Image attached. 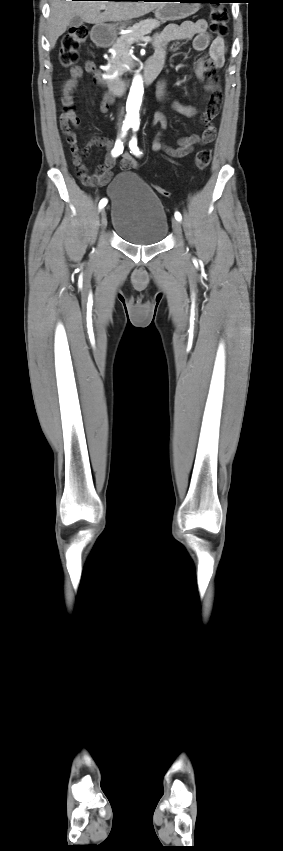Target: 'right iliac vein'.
Masks as SVG:
<instances>
[{
  "mask_svg": "<svg viewBox=\"0 0 283 851\" xmlns=\"http://www.w3.org/2000/svg\"><path fill=\"white\" fill-rule=\"evenodd\" d=\"M101 226L103 229L107 226V215L105 209L101 210Z\"/></svg>",
  "mask_w": 283,
  "mask_h": 851,
  "instance_id": "obj_1",
  "label": "right iliac vein"
}]
</instances>
